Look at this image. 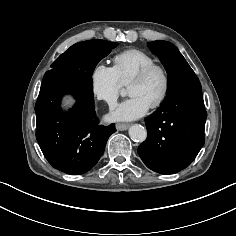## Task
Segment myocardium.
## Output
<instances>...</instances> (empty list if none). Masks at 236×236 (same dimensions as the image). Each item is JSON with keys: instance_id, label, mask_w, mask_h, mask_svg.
Listing matches in <instances>:
<instances>
[{"instance_id": "1", "label": "myocardium", "mask_w": 236, "mask_h": 236, "mask_svg": "<svg viewBox=\"0 0 236 236\" xmlns=\"http://www.w3.org/2000/svg\"><path fill=\"white\" fill-rule=\"evenodd\" d=\"M154 72H159L162 75L164 85H163V90H162L160 96L150 106L153 109L160 107L168 97V94L170 91V86H171V78H170V74H169V71L167 70V68L161 64H158V63L150 64V65L146 66L145 68H143L140 72H138L135 75V77L131 80V82L129 83V86L133 85V84L142 83L145 80H147L149 78V76Z\"/></svg>"}]
</instances>
